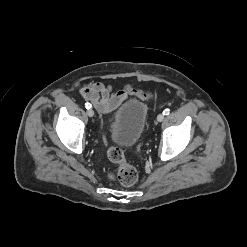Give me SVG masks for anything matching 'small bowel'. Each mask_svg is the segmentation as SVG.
<instances>
[{
  "label": "small bowel",
  "instance_id": "c3829d8e",
  "mask_svg": "<svg viewBox=\"0 0 247 247\" xmlns=\"http://www.w3.org/2000/svg\"><path fill=\"white\" fill-rule=\"evenodd\" d=\"M112 86L104 85L100 82H90L80 89V94L84 100L90 102L101 114H109L116 110L129 96L137 97L141 100H154L152 92L138 89L130 84L122 89L112 92Z\"/></svg>",
  "mask_w": 247,
  "mask_h": 247
}]
</instances>
